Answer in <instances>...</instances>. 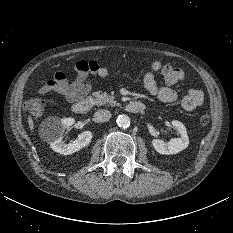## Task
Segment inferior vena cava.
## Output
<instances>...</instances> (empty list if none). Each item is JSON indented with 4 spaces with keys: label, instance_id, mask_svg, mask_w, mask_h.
Listing matches in <instances>:
<instances>
[{
    "label": "inferior vena cava",
    "instance_id": "inferior-vena-cava-1",
    "mask_svg": "<svg viewBox=\"0 0 233 233\" xmlns=\"http://www.w3.org/2000/svg\"><path fill=\"white\" fill-rule=\"evenodd\" d=\"M111 112L106 109L98 110L94 114V118L97 122H106L111 118Z\"/></svg>",
    "mask_w": 233,
    "mask_h": 233
}]
</instances>
